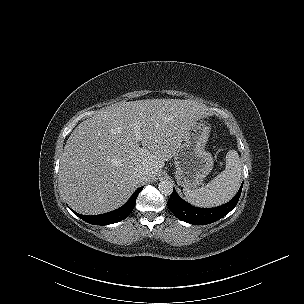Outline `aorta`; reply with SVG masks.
<instances>
[{
  "instance_id": "obj_1",
  "label": "aorta",
  "mask_w": 304,
  "mask_h": 304,
  "mask_svg": "<svg viewBox=\"0 0 304 304\" xmlns=\"http://www.w3.org/2000/svg\"><path fill=\"white\" fill-rule=\"evenodd\" d=\"M158 189L161 192V194H163L165 196H169L173 192V184L168 180H162L158 184Z\"/></svg>"
}]
</instances>
